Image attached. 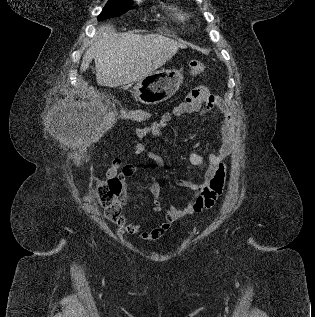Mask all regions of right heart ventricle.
Masks as SVG:
<instances>
[{
    "label": "right heart ventricle",
    "instance_id": "e07e8e85",
    "mask_svg": "<svg viewBox=\"0 0 315 317\" xmlns=\"http://www.w3.org/2000/svg\"><path fill=\"white\" fill-rule=\"evenodd\" d=\"M174 18L180 22V23H184L187 21L188 16L182 12L181 10H179L178 8L174 9Z\"/></svg>",
    "mask_w": 315,
    "mask_h": 317
}]
</instances>
